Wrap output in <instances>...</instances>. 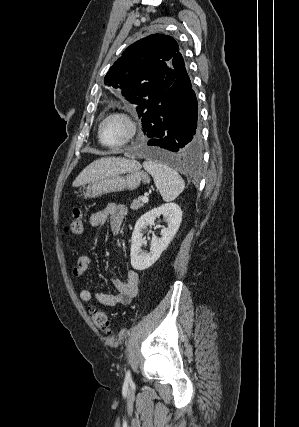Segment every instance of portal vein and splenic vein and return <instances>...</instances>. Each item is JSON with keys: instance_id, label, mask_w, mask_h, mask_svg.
I'll list each match as a JSON object with an SVG mask.
<instances>
[{"instance_id": "1", "label": "portal vein and splenic vein", "mask_w": 299, "mask_h": 427, "mask_svg": "<svg viewBox=\"0 0 299 427\" xmlns=\"http://www.w3.org/2000/svg\"><path fill=\"white\" fill-rule=\"evenodd\" d=\"M142 201H143V202H148V196H144V197L142 198Z\"/></svg>"}]
</instances>
